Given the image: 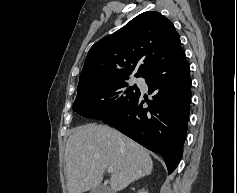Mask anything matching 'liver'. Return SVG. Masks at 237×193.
<instances>
[{"label": "liver", "instance_id": "6515ba94", "mask_svg": "<svg viewBox=\"0 0 237 193\" xmlns=\"http://www.w3.org/2000/svg\"><path fill=\"white\" fill-rule=\"evenodd\" d=\"M65 163L68 193H83L99 185L109 167L113 168L110 187L115 192L153 169L145 148L114 128L94 123L73 130L66 143Z\"/></svg>", "mask_w": 237, "mask_h": 193}]
</instances>
